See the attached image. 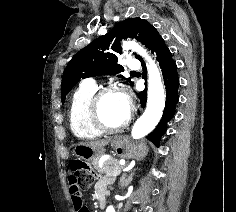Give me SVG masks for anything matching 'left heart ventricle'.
<instances>
[{
    "label": "left heart ventricle",
    "mask_w": 236,
    "mask_h": 212,
    "mask_svg": "<svg viewBox=\"0 0 236 212\" xmlns=\"http://www.w3.org/2000/svg\"><path fill=\"white\" fill-rule=\"evenodd\" d=\"M128 105L120 93L107 94L101 101V116L106 125L116 127L126 118Z\"/></svg>",
    "instance_id": "b2bd125f"
}]
</instances>
